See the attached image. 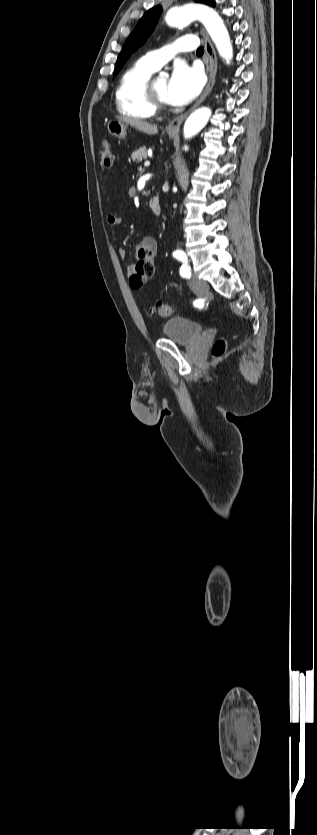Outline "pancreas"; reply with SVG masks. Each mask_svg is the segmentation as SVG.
I'll return each instance as SVG.
<instances>
[{"label":"pancreas","mask_w":317,"mask_h":835,"mask_svg":"<svg viewBox=\"0 0 317 835\" xmlns=\"http://www.w3.org/2000/svg\"><path fill=\"white\" fill-rule=\"evenodd\" d=\"M147 156H148L147 155V147L143 146V147L139 148L138 150L134 151L131 155V158H132L133 161L138 163V162H141L143 159H146Z\"/></svg>","instance_id":"cf45deb5"}]
</instances>
